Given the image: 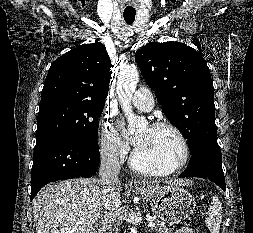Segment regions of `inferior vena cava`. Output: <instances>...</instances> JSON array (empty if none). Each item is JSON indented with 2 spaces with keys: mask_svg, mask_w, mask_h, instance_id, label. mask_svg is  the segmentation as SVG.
<instances>
[{
  "mask_svg": "<svg viewBox=\"0 0 253 233\" xmlns=\"http://www.w3.org/2000/svg\"><path fill=\"white\" fill-rule=\"evenodd\" d=\"M120 169L116 146L111 144L104 147L101 150V163L99 169L102 206L108 222L113 223L115 227L120 226L122 222L120 182L118 179Z\"/></svg>",
  "mask_w": 253,
  "mask_h": 233,
  "instance_id": "1",
  "label": "inferior vena cava"
}]
</instances>
